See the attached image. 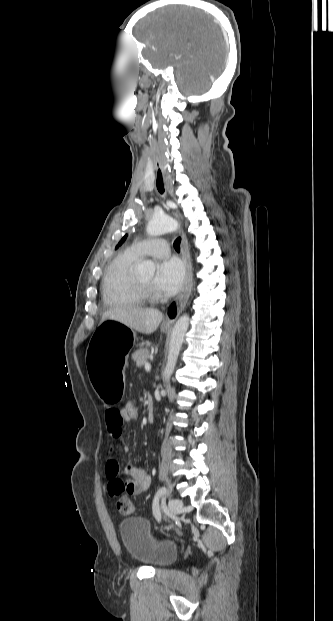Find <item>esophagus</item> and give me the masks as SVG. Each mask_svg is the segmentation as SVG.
Instances as JSON below:
<instances>
[{"label":"esophagus","instance_id":"34e87169","mask_svg":"<svg viewBox=\"0 0 333 621\" xmlns=\"http://www.w3.org/2000/svg\"><path fill=\"white\" fill-rule=\"evenodd\" d=\"M155 185H156V190L159 193V195L161 197H164L167 193L168 188L165 184L163 172L160 169H158L156 172ZM181 252H182L183 261L186 266L185 286L179 298L170 304L168 311H167L166 318L162 323L163 326H171L175 322L177 317L180 315V313L184 309L190 297L192 286H193L192 266H191L189 251H188L187 239L184 233H181Z\"/></svg>","mask_w":333,"mask_h":621}]
</instances>
